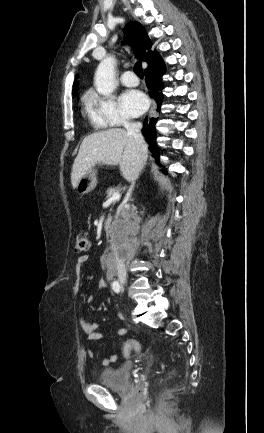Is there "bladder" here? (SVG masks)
I'll return each instance as SVG.
<instances>
[{
    "instance_id": "bladder-1",
    "label": "bladder",
    "mask_w": 264,
    "mask_h": 433,
    "mask_svg": "<svg viewBox=\"0 0 264 433\" xmlns=\"http://www.w3.org/2000/svg\"><path fill=\"white\" fill-rule=\"evenodd\" d=\"M132 364L126 363L119 368H106L100 372L99 382L101 385L115 391L125 392L130 388V375Z\"/></svg>"
}]
</instances>
